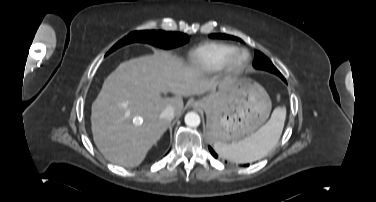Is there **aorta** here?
<instances>
[{
    "mask_svg": "<svg viewBox=\"0 0 376 202\" xmlns=\"http://www.w3.org/2000/svg\"><path fill=\"white\" fill-rule=\"evenodd\" d=\"M184 120L185 124L189 127H197L201 122L200 116L196 112H188Z\"/></svg>",
    "mask_w": 376,
    "mask_h": 202,
    "instance_id": "aorta-1",
    "label": "aorta"
}]
</instances>
